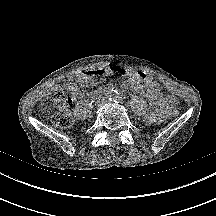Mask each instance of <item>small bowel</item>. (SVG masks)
<instances>
[{"instance_id":"1","label":"small bowel","mask_w":216,"mask_h":216,"mask_svg":"<svg viewBox=\"0 0 216 216\" xmlns=\"http://www.w3.org/2000/svg\"><path fill=\"white\" fill-rule=\"evenodd\" d=\"M126 82L133 91L152 101V110L147 116V121L150 123L160 122L175 104V98L171 95L162 94L157 82L143 72H129L126 75ZM72 86L74 98H77L80 91L77 86L73 84Z\"/></svg>"}]
</instances>
